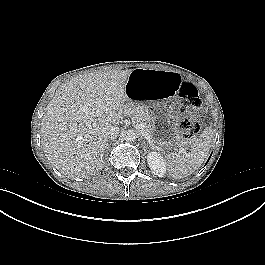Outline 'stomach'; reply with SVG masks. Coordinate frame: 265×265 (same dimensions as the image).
<instances>
[{
  "label": "stomach",
  "mask_w": 265,
  "mask_h": 265,
  "mask_svg": "<svg viewBox=\"0 0 265 265\" xmlns=\"http://www.w3.org/2000/svg\"><path fill=\"white\" fill-rule=\"evenodd\" d=\"M178 74L170 71L137 68L128 76L127 101L141 103V125L150 151L166 155L175 150L179 135L175 126Z\"/></svg>",
  "instance_id": "0dacf381"
}]
</instances>
